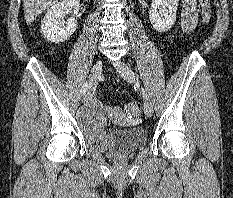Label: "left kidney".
Listing matches in <instances>:
<instances>
[{
    "instance_id": "left-kidney-1",
    "label": "left kidney",
    "mask_w": 233,
    "mask_h": 198,
    "mask_svg": "<svg viewBox=\"0 0 233 198\" xmlns=\"http://www.w3.org/2000/svg\"><path fill=\"white\" fill-rule=\"evenodd\" d=\"M179 0H152L149 18L158 32H166L176 22V11Z\"/></svg>"
}]
</instances>
